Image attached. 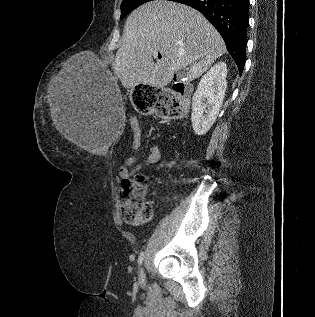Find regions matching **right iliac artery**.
<instances>
[{"mask_svg": "<svg viewBox=\"0 0 315 317\" xmlns=\"http://www.w3.org/2000/svg\"><path fill=\"white\" fill-rule=\"evenodd\" d=\"M144 260V252L140 253L139 258H138V266L142 264Z\"/></svg>", "mask_w": 315, "mask_h": 317, "instance_id": "obj_1", "label": "right iliac artery"}]
</instances>
